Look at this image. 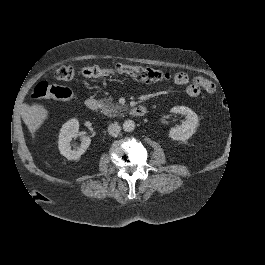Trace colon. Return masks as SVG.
<instances>
[{
  "label": "colon",
  "mask_w": 265,
  "mask_h": 265,
  "mask_svg": "<svg viewBox=\"0 0 265 265\" xmlns=\"http://www.w3.org/2000/svg\"><path fill=\"white\" fill-rule=\"evenodd\" d=\"M85 77L98 78L115 73L129 75L137 80L145 82L165 81L169 78V74L158 69L133 66L126 64H118L113 68H103L99 66H87L82 71ZM74 70L70 66L59 67L54 76L60 81H70L74 78ZM33 97L36 99H56L68 101L73 98L72 91L67 87H62L47 82L38 83L33 90Z\"/></svg>",
  "instance_id": "5ec220e1"
}]
</instances>
